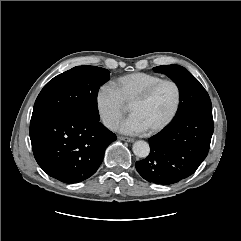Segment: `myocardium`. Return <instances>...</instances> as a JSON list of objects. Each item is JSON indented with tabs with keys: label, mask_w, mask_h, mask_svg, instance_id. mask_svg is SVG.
<instances>
[{
	"label": "myocardium",
	"mask_w": 241,
	"mask_h": 241,
	"mask_svg": "<svg viewBox=\"0 0 241 241\" xmlns=\"http://www.w3.org/2000/svg\"><path fill=\"white\" fill-rule=\"evenodd\" d=\"M164 84H171L174 87L176 91V101L170 115L159 125L151 129H148L149 133H152V134L158 133L163 129H165L166 127H168L177 116L181 106V102H182V91H181L180 85L175 80H172V79H161L158 82L151 85L150 87H148L143 93H141L138 97H136L129 105V107L131 108L134 105L145 103L151 98V96L156 92V90Z\"/></svg>",
	"instance_id": "f54148a6"
}]
</instances>
